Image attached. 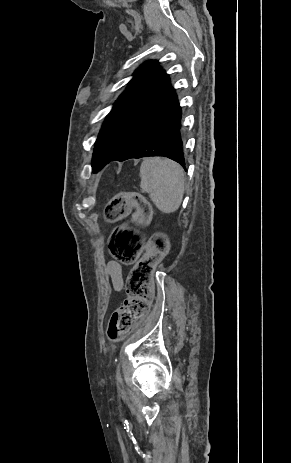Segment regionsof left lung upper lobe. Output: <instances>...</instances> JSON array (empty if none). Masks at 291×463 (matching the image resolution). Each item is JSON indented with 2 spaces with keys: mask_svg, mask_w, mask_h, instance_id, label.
I'll list each match as a JSON object with an SVG mask.
<instances>
[{
  "mask_svg": "<svg viewBox=\"0 0 291 463\" xmlns=\"http://www.w3.org/2000/svg\"><path fill=\"white\" fill-rule=\"evenodd\" d=\"M133 75L103 123L95 142L92 166L127 154L178 103L168 75L157 61L145 62Z\"/></svg>",
  "mask_w": 291,
  "mask_h": 463,
  "instance_id": "1",
  "label": "left lung upper lobe"
}]
</instances>
